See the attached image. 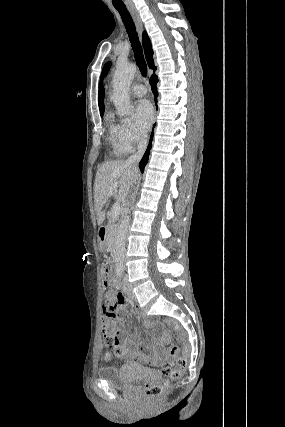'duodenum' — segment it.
Segmentation results:
<instances>
[{"label": "duodenum", "instance_id": "obj_1", "mask_svg": "<svg viewBox=\"0 0 285 427\" xmlns=\"http://www.w3.org/2000/svg\"><path fill=\"white\" fill-rule=\"evenodd\" d=\"M111 231L116 232L115 229L109 227V226H102L99 228L98 231V239H99V243L101 246H104L106 243V236L108 233H110Z\"/></svg>", "mask_w": 285, "mask_h": 427}]
</instances>
